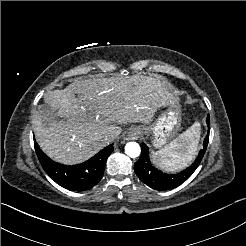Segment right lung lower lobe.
Instances as JSON below:
<instances>
[{"mask_svg": "<svg viewBox=\"0 0 246 246\" xmlns=\"http://www.w3.org/2000/svg\"><path fill=\"white\" fill-rule=\"evenodd\" d=\"M34 144L38 159L47 174L60 186L71 191H84L96 185L101 180L107 158L114 149L111 144L82 164L66 166L51 160L36 142Z\"/></svg>", "mask_w": 246, "mask_h": 246, "instance_id": "obj_1", "label": "right lung lower lobe"}]
</instances>
